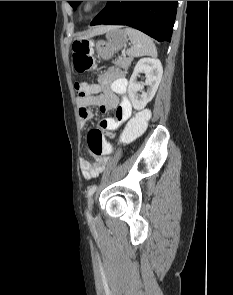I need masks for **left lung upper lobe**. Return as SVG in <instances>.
Returning <instances> with one entry per match:
<instances>
[{
    "label": "left lung upper lobe",
    "mask_w": 233,
    "mask_h": 295,
    "mask_svg": "<svg viewBox=\"0 0 233 295\" xmlns=\"http://www.w3.org/2000/svg\"><path fill=\"white\" fill-rule=\"evenodd\" d=\"M73 8H76L81 1H67Z\"/></svg>",
    "instance_id": "1"
}]
</instances>
